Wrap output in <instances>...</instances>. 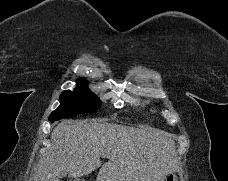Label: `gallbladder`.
I'll use <instances>...</instances> for the list:
<instances>
[{
	"instance_id": "gallbladder-1",
	"label": "gallbladder",
	"mask_w": 228,
	"mask_h": 181,
	"mask_svg": "<svg viewBox=\"0 0 228 181\" xmlns=\"http://www.w3.org/2000/svg\"><path fill=\"white\" fill-rule=\"evenodd\" d=\"M67 173H62L61 177H66Z\"/></svg>"
}]
</instances>
